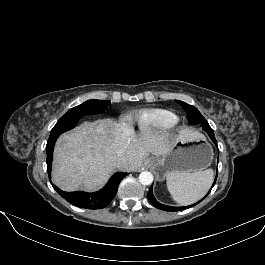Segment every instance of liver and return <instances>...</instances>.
<instances>
[{
	"instance_id": "1",
	"label": "liver",
	"mask_w": 265,
	"mask_h": 265,
	"mask_svg": "<svg viewBox=\"0 0 265 265\" xmlns=\"http://www.w3.org/2000/svg\"><path fill=\"white\" fill-rule=\"evenodd\" d=\"M199 136V133L186 128L179 132L178 139ZM170 147L171 143L164 135L144 133L137 136L112 119L84 122L58 139L52 179L63 191H93L101 188L116 168L136 170L150 153L165 155ZM119 149L125 150L126 158L121 166L116 163Z\"/></svg>"
}]
</instances>
